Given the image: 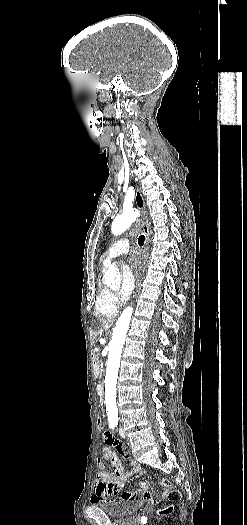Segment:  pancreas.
Here are the masks:
<instances>
[{"label": "pancreas", "mask_w": 247, "mask_h": 525, "mask_svg": "<svg viewBox=\"0 0 247 525\" xmlns=\"http://www.w3.org/2000/svg\"><path fill=\"white\" fill-rule=\"evenodd\" d=\"M98 352H99V349H94V356H93V359H94L95 361H98V360L100 359V356H99Z\"/></svg>", "instance_id": "pancreas-1"}]
</instances>
